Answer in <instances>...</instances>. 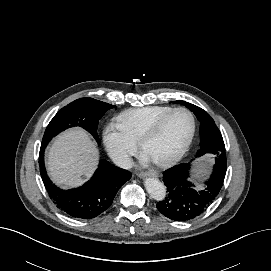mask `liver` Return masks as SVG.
Returning a JSON list of instances; mask_svg holds the SVG:
<instances>
[{
    "instance_id": "liver-1",
    "label": "liver",
    "mask_w": 271,
    "mask_h": 271,
    "mask_svg": "<svg viewBox=\"0 0 271 271\" xmlns=\"http://www.w3.org/2000/svg\"><path fill=\"white\" fill-rule=\"evenodd\" d=\"M98 161L99 151L90 136L84 130L70 129L50 147L47 167L57 185L72 188L93 175Z\"/></svg>"
}]
</instances>
